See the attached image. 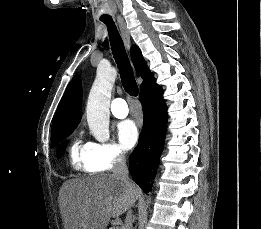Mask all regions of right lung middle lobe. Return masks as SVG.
I'll return each mask as SVG.
<instances>
[{
  "label": "right lung middle lobe",
  "mask_w": 261,
  "mask_h": 229,
  "mask_svg": "<svg viewBox=\"0 0 261 229\" xmlns=\"http://www.w3.org/2000/svg\"><path fill=\"white\" fill-rule=\"evenodd\" d=\"M76 126H77V124H66V125L56 126V127L52 128V137L54 139H56L58 143H60L68 135H70L73 132V130L76 128ZM67 142H68L67 140L63 141L59 145V147L57 149V153H56L57 158H61L62 155L64 154Z\"/></svg>",
  "instance_id": "obj_1"
}]
</instances>
